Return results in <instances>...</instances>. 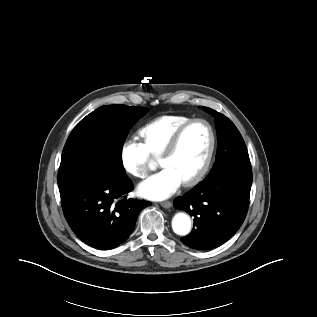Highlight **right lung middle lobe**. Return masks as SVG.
<instances>
[{
    "mask_svg": "<svg viewBox=\"0 0 317 317\" xmlns=\"http://www.w3.org/2000/svg\"><path fill=\"white\" fill-rule=\"evenodd\" d=\"M148 108L127 105L102 106L73 129L64 146L58 172V184L75 173L101 163L124 170L122 147L132 126Z\"/></svg>",
    "mask_w": 317,
    "mask_h": 317,
    "instance_id": "obj_1",
    "label": "right lung middle lobe"
}]
</instances>
